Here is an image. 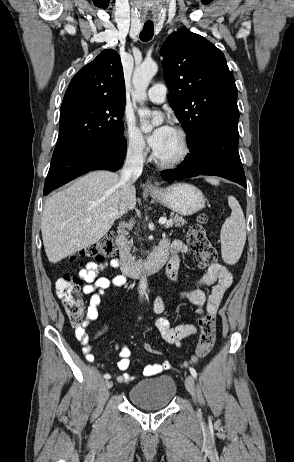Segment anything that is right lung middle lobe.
Wrapping results in <instances>:
<instances>
[{
	"label": "right lung middle lobe",
	"mask_w": 294,
	"mask_h": 462,
	"mask_svg": "<svg viewBox=\"0 0 294 462\" xmlns=\"http://www.w3.org/2000/svg\"><path fill=\"white\" fill-rule=\"evenodd\" d=\"M126 99L77 98L64 101L60 110L57 144L70 139L123 135Z\"/></svg>",
	"instance_id": "dd1d6c3e"
}]
</instances>
